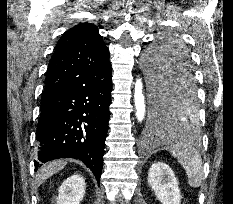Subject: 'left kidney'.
<instances>
[{
    "label": "left kidney",
    "instance_id": "5707ae66",
    "mask_svg": "<svg viewBox=\"0 0 233 204\" xmlns=\"http://www.w3.org/2000/svg\"><path fill=\"white\" fill-rule=\"evenodd\" d=\"M148 183L162 204H180L181 191L172 169L167 164H152L148 172Z\"/></svg>",
    "mask_w": 233,
    "mask_h": 204
}]
</instances>
